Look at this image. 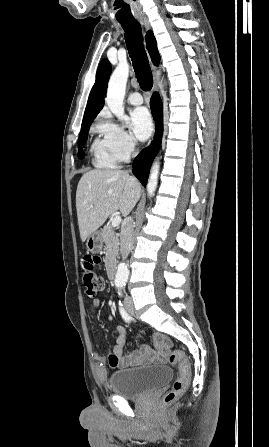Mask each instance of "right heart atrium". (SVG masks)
Returning <instances> with one entry per match:
<instances>
[{
    "mask_svg": "<svg viewBox=\"0 0 269 447\" xmlns=\"http://www.w3.org/2000/svg\"><path fill=\"white\" fill-rule=\"evenodd\" d=\"M97 130L107 137L119 160L131 157L137 147L134 137L106 114L98 123Z\"/></svg>",
    "mask_w": 269,
    "mask_h": 447,
    "instance_id": "d8ad5b80",
    "label": "right heart atrium"
}]
</instances>
